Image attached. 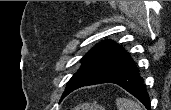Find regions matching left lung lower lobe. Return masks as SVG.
Returning <instances> with one entry per match:
<instances>
[{
    "label": "left lung lower lobe",
    "instance_id": "1",
    "mask_svg": "<svg viewBox=\"0 0 171 110\" xmlns=\"http://www.w3.org/2000/svg\"><path fill=\"white\" fill-rule=\"evenodd\" d=\"M138 68L131 58L121 63L120 65L104 72L90 82H86L72 89L70 92L88 85H95L101 83H114L121 86L123 89L131 93L139 99L144 106L150 110L149 95L145 90L143 79L138 74ZM69 92V93H70Z\"/></svg>",
    "mask_w": 171,
    "mask_h": 110
}]
</instances>
